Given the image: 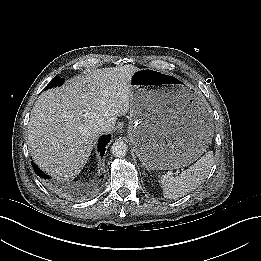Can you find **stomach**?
<instances>
[{"mask_svg": "<svg viewBox=\"0 0 261 261\" xmlns=\"http://www.w3.org/2000/svg\"><path fill=\"white\" fill-rule=\"evenodd\" d=\"M131 87L128 135L145 167L181 168L205 152L212 131L195 107L199 98L191 86L144 68L133 74Z\"/></svg>", "mask_w": 261, "mask_h": 261, "instance_id": "0dacf381", "label": "stomach"}]
</instances>
